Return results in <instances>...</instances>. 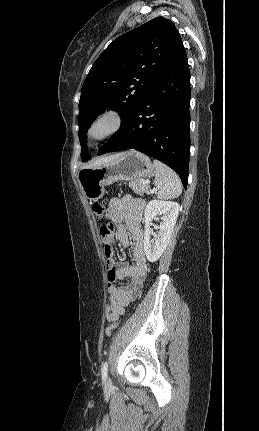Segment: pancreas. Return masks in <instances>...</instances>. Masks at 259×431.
I'll return each instance as SVG.
<instances>
[{
    "mask_svg": "<svg viewBox=\"0 0 259 431\" xmlns=\"http://www.w3.org/2000/svg\"><path fill=\"white\" fill-rule=\"evenodd\" d=\"M129 186L132 188V190L139 195H143L144 193L148 194L149 193V185L143 184L141 182V180H133L129 183Z\"/></svg>",
    "mask_w": 259,
    "mask_h": 431,
    "instance_id": "1",
    "label": "pancreas"
}]
</instances>
